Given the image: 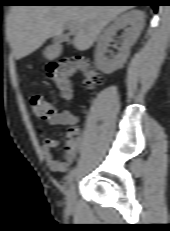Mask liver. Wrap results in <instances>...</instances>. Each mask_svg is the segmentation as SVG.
I'll return each instance as SVG.
<instances>
[{"label": "liver", "mask_w": 170, "mask_h": 231, "mask_svg": "<svg viewBox=\"0 0 170 231\" xmlns=\"http://www.w3.org/2000/svg\"><path fill=\"white\" fill-rule=\"evenodd\" d=\"M131 8L129 5L13 6L8 15V40L14 57L19 60L33 53L47 39L60 38L69 26L75 30V37L68 43L85 51L110 21Z\"/></svg>", "instance_id": "6515ba94"}]
</instances>
